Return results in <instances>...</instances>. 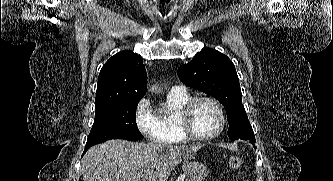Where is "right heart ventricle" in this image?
<instances>
[{"label":"right heart ventricle","mask_w":333,"mask_h":181,"mask_svg":"<svg viewBox=\"0 0 333 181\" xmlns=\"http://www.w3.org/2000/svg\"><path fill=\"white\" fill-rule=\"evenodd\" d=\"M191 98L186 92H170L163 108L155 112L160 124V132L156 141L168 144L184 143L188 141L180 124V110Z\"/></svg>","instance_id":"e07e8e85"}]
</instances>
